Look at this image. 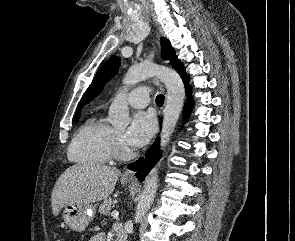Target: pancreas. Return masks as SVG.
<instances>
[{
    "mask_svg": "<svg viewBox=\"0 0 295 241\" xmlns=\"http://www.w3.org/2000/svg\"><path fill=\"white\" fill-rule=\"evenodd\" d=\"M114 208V202L111 199H105L99 206V213L103 215L110 214V211Z\"/></svg>",
    "mask_w": 295,
    "mask_h": 241,
    "instance_id": "cf45deb5",
    "label": "pancreas"
}]
</instances>
